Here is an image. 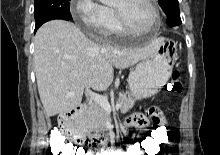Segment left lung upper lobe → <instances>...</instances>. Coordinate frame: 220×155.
<instances>
[{"instance_id": "1", "label": "left lung upper lobe", "mask_w": 220, "mask_h": 155, "mask_svg": "<svg viewBox=\"0 0 220 155\" xmlns=\"http://www.w3.org/2000/svg\"><path fill=\"white\" fill-rule=\"evenodd\" d=\"M158 4L163 9L167 17L179 14L178 0H158Z\"/></svg>"}]
</instances>
